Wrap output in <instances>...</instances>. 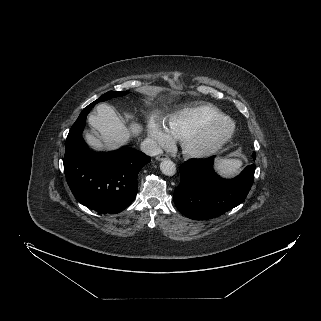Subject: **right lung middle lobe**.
<instances>
[{
  "instance_id": "obj_1",
  "label": "right lung middle lobe",
  "mask_w": 321,
  "mask_h": 321,
  "mask_svg": "<svg viewBox=\"0 0 321 321\" xmlns=\"http://www.w3.org/2000/svg\"><path fill=\"white\" fill-rule=\"evenodd\" d=\"M126 94H127L126 91H121V92L109 91V92L105 93L104 95H102L101 97H99L96 101L91 103L89 106L93 107L98 102L106 101V100L113 98V97L124 96Z\"/></svg>"
}]
</instances>
